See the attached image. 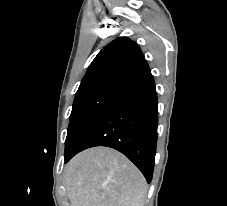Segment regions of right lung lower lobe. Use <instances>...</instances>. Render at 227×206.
Returning a JSON list of instances; mask_svg holds the SVG:
<instances>
[{"label":"right lung lower lobe","instance_id":"obj_1","mask_svg":"<svg viewBox=\"0 0 227 206\" xmlns=\"http://www.w3.org/2000/svg\"><path fill=\"white\" fill-rule=\"evenodd\" d=\"M157 93L151 72L129 82L128 88L110 103L88 127L67 163L80 151L94 147L114 148L129 158L152 180L157 143Z\"/></svg>","mask_w":227,"mask_h":206}]
</instances>
